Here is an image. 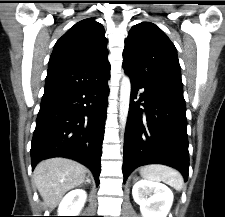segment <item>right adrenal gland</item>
Here are the masks:
<instances>
[{
	"instance_id": "right-adrenal-gland-1",
	"label": "right adrenal gland",
	"mask_w": 225,
	"mask_h": 217,
	"mask_svg": "<svg viewBox=\"0 0 225 217\" xmlns=\"http://www.w3.org/2000/svg\"><path fill=\"white\" fill-rule=\"evenodd\" d=\"M86 182L89 183V184L91 183L89 177H86L85 183H86Z\"/></svg>"
}]
</instances>
